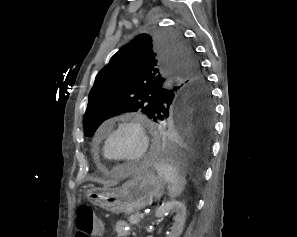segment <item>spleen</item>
I'll list each match as a JSON object with an SVG mask.
<instances>
[{
    "label": "spleen",
    "mask_w": 297,
    "mask_h": 237,
    "mask_svg": "<svg viewBox=\"0 0 297 237\" xmlns=\"http://www.w3.org/2000/svg\"><path fill=\"white\" fill-rule=\"evenodd\" d=\"M154 168L158 177L169 184L171 198L178 197L184 191L186 179L173 164L164 161L156 162Z\"/></svg>",
    "instance_id": "spleen-1"
}]
</instances>
